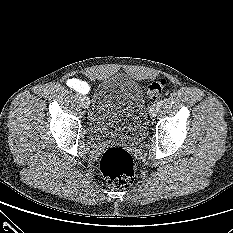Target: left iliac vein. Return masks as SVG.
<instances>
[{
  "label": "left iliac vein",
  "instance_id": "1",
  "mask_svg": "<svg viewBox=\"0 0 233 233\" xmlns=\"http://www.w3.org/2000/svg\"><path fill=\"white\" fill-rule=\"evenodd\" d=\"M158 110H159V105L157 103L151 105V107L149 108L150 117H155Z\"/></svg>",
  "mask_w": 233,
  "mask_h": 233
}]
</instances>
